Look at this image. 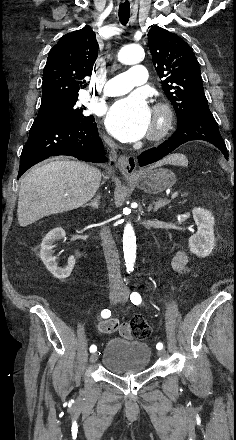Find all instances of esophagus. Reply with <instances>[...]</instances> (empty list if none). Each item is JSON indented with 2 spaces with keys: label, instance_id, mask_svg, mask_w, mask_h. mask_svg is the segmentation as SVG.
<instances>
[{
  "label": "esophagus",
  "instance_id": "34e87169",
  "mask_svg": "<svg viewBox=\"0 0 236 440\" xmlns=\"http://www.w3.org/2000/svg\"><path fill=\"white\" fill-rule=\"evenodd\" d=\"M118 167L125 178H132L136 174V159L134 157L120 156Z\"/></svg>",
  "mask_w": 236,
  "mask_h": 440
}]
</instances>
